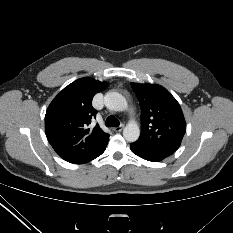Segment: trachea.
Returning a JSON list of instances; mask_svg holds the SVG:
<instances>
[{"label": "trachea", "mask_w": 233, "mask_h": 233, "mask_svg": "<svg viewBox=\"0 0 233 233\" xmlns=\"http://www.w3.org/2000/svg\"><path fill=\"white\" fill-rule=\"evenodd\" d=\"M107 127H118L120 125L119 120L115 116H109L105 122Z\"/></svg>", "instance_id": "obj_1"}]
</instances>
